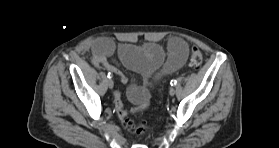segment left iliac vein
<instances>
[{
    "instance_id": "left-iliac-vein-1",
    "label": "left iliac vein",
    "mask_w": 279,
    "mask_h": 148,
    "mask_svg": "<svg viewBox=\"0 0 279 148\" xmlns=\"http://www.w3.org/2000/svg\"><path fill=\"white\" fill-rule=\"evenodd\" d=\"M169 94H170L171 96H174V95H175V89H174L173 87L170 88Z\"/></svg>"
}]
</instances>
